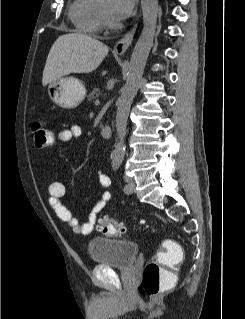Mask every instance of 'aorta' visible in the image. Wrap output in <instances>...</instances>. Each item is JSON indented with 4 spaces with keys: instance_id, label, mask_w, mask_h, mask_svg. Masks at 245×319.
Segmentation results:
<instances>
[{
    "instance_id": "1",
    "label": "aorta",
    "mask_w": 245,
    "mask_h": 319,
    "mask_svg": "<svg viewBox=\"0 0 245 319\" xmlns=\"http://www.w3.org/2000/svg\"><path fill=\"white\" fill-rule=\"evenodd\" d=\"M143 30L134 47L128 67L126 83L122 89L116 114L118 142L112 152L114 161H121L125 155V135L130 107L137 94L146 61L153 45L158 16V0H141Z\"/></svg>"
}]
</instances>
